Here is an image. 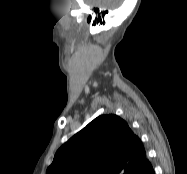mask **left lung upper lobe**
Wrapping results in <instances>:
<instances>
[{
    "label": "left lung upper lobe",
    "instance_id": "1",
    "mask_svg": "<svg viewBox=\"0 0 187 174\" xmlns=\"http://www.w3.org/2000/svg\"><path fill=\"white\" fill-rule=\"evenodd\" d=\"M149 165L141 140L110 114L95 118L60 147L46 174H132Z\"/></svg>",
    "mask_w": 187,
    "mask_h": 174
}]
</instances>
